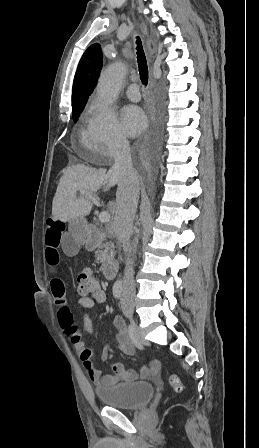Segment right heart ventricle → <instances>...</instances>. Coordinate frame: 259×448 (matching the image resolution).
Wrapping results in <instances>:
<instances>
[{
	"label": "right heart ventricle",
	"instance_id": "e07e8e85",
	"mask_svg": "<svg viewBox=\"0 0 259 448\" xmlns=\"http://www.w3.org/2000/svg\"><path fill=\"white\" fill-rule=\"evenodd\" d=\"M95 115L96 114L93 110V105L91 103H87L80 118V131L85 139H88L93 122L95 120Z\"/></svg>",
	"mask_w": 259,
	"mask_h": 448
}]
</instances>
